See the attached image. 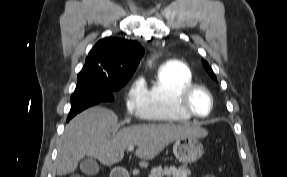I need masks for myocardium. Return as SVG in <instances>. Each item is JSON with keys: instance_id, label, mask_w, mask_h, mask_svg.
I'll list each match as a JSON object with an SVG mask.
<instances>
[{"instance_id": "obj_1", "label": "myocardium", "mask_w": 287, "mask_h": 177, "mask_svg": "<svg viewBox=\"0 0 287 177\" xmlns=\"http://www.w3.org/2000/svg\"><path fill=\"white\" fill-rule=\"evenodd\" d=\"M197 91H203L207 94L209 100H210V108L209 112L205 116L198 115L191 106V98ZM215 101L214 96L212 92L204 85L200 84H191L187 86L181 93L179 99H178V106L179 108L188 114L191 117H194L196 119H206L211 116L213 109H214Z\"/></svg>"}]
</instances>
